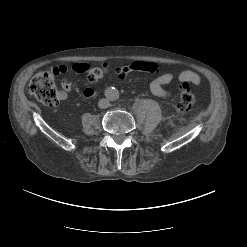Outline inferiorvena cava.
I'll use <instances>...</instances> for the list:
<instances>
[{"label":"inferior vena cava","mask_w":247,"mask_h":247,"mask_svg":"<svg viewBox=\"0 0 247 247\" xmlns=\"http://www.w3.org/2000/svg\"><path fill=\"white\" fill-rule=\"evenodd\" d=\"M109 106H110V103L108 99H101L98 102V107L101 109L108 108Z\"/></svg>","instance_id":"obj_1"}]
</instances>
